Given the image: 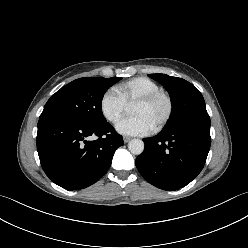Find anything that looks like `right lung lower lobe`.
<instances>
[{"label": "right lung lower lobe", "instance_id": "1", "mask_svg": "<svg viewBox=\"0 0 248 248\" xmlns=\"http://www.w3.org/2000/svg\"><path fill=\"white\" fill-rule=\"evenodd\" d=\"M90 136L98 139L90 141ZM36 142L44 172L67 190L98 181L109 169L115 150L124 144L108 122L91 124L67 116L39 119Z\"/></svg>", "mask_w": 248, "mask_h": 248}]
</instances>
